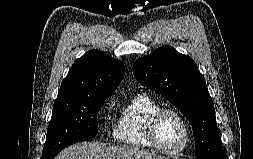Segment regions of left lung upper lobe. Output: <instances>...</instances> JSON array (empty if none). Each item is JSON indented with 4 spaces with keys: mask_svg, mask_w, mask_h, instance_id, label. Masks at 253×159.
I'll use <instances>...</instances> for the list:
<instances>
[{
    "mask_svg": "<svg viewBox=\"0 0 253 159\" xmlns=\"http://www.w3.org/2000/svg\"><path fill=\"white\" fill-rule=\"evenodd\" d=\"M133 74L143 86L163 95L189 120L196 159H216L223 150L212 98L195 62L171 46L138 59Z\"/></svg>",
    "mask_w": 253,
    "mask_h": 159,
    "instance_id": "left-lung-upper-lobe-1",
    "label": "left lung upper lobe"
}]
</instances>
